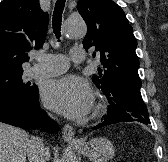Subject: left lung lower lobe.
<instances>
[{
	"label": "left lung lower lobe",
	"instance_id": "left-lung-lower-lobe-1",
	"mask_svg": "<svg viewBox=\"0 0 168 162\" xmlns=\"http://www.w3.org/2000/svg\"><path fill=\"white\" fill-rule=\"evenodd\" d=\"M104 94L108 97L110 104L109 112L104 116L103 122L94 126L93 130L119 122L137 121L146 125L150 124L147 107L140 90L119 86L109 89Z\"/></svg>",
	"mask_w": 168,
	"mask_h": 162
}]
</instances>
